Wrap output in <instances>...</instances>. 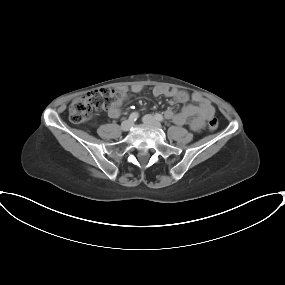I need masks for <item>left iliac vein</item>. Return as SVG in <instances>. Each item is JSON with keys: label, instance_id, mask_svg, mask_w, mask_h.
Masks as SVG:
<instances>
[{"label": "left iliac vein", "instance_id": "obj_1", "mask_svg": "<svg viewBox=\"0 0 285 285\" xmlns=\"http://www.w3.org/2000/svg\"><path fill=\"white\" fill-rule=\"evenodd\" d=\"M143 123L154 128H161V124L152 116V115H145L143 118Z\"/></svg>", "mask_w": 285, "mask_h": 285}]
</instances>
